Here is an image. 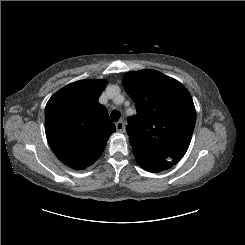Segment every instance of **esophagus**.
<instances>
[{"label":"esophagus","mask_w":245,"mask_h":245,"mask_svg":"<svg viewBox=\"0 0 245 245\" xmlns=\"http://www.w3.org/2000/svg\"><path fill=\"white\" fill-rule=\"evenodd\" d=\"M116 129L118 132L120 133H124L125 132V123L121 120L119 122L116 123Z\"/></svg>","instance_id":"esophagus-1"}]
</instances>
